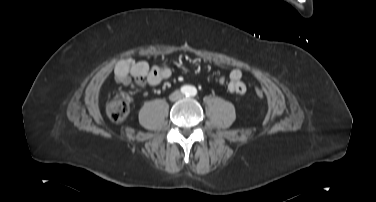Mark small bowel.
Listing matches in <instances>:
<instances>
[{"label":"small bowel","instance_id":"1","mask_svg":"<svg viewBox=\"0 0 376 202\" xmlns=\"http://www.w3.org/2000/svg\"><path fill=\"white\" fill-rule=\"evenodd\" d=\"M218 65H227L223 60L214 61ZM172 72L164 66H151L146 61H134L130 58L119 60L114 68V79L117 83L129 86L139 91L145 86H157L169 78ZM243 72L239 67H234L229 74L217 78L219 84L227 85L228 89L237 94H244L246 86L242 82Z\"/></svg>","mask_w":376,"mask_h":202}]
</instances>
